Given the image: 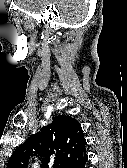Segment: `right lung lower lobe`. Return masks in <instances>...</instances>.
I'll return each mask as SVG.
<instances>
[{
  "label": "right lung lower lobe",
  "mask_w": 127,
  "mask_h": 168,
  "mask_svg": "<svg viewBox=\"0 0 127 168\" xmlns=\"http://www.w3.org/2000/svg\"><path fill=\"white\" fill-rule=\"evenodd\" d=\"M87 158L84 159L79 165H77L75 168H85V164H86Z\"/></svg>",
  "instance_id": "right-lung-lower-lobe-1"
}]
</instances>
